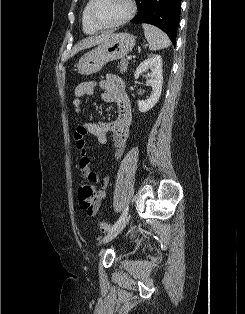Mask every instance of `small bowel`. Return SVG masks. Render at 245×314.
Segmentation results:
<instances>
[{"label":"small bowel","instance_id":"c3829d8e","mask_svg":"<svg viewBox=\"0 0 245 314\" xmlns=\"http://www.w3.org/2000/svg\"><path fill=\"white\" fill-rule=\"evenodd\" d=\"M96 87L103 91L101 98L104 102L116 103L118 118L114 121L98 123L83 120L74 133L76 150L80 156L79 170L85 178L100 186V190L96 193L94 209L92 213L88 214L90 216H94L97 213L104 200L106 196L105 190L108 187L110 178L108 175H101L91 170L92 161L88 157L86 138L93 136L100 144H105L109 135L113 143L114 158L118 160L124 152L132 119L131 104L125 91V85L115 75H108L106 79L101 81L91 80L78 84L74 89L73 101L77 112H80L81 100L91 96Z\"/></svg>","mask_w":245,"mask_h":314}]
</instances>
